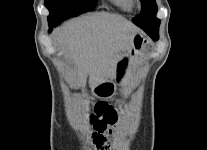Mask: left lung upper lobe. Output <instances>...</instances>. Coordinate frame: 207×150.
<instances>
[{
    "label": "left lung upper lobe",
    "mask_w": 207,
    "mask_h": 150,
    "mask_svg": "<svg viewBox=\"0 0 207 150\" xmlns=\"http://www.w3.org/2000/svg\"><path fill=\"white\" fill-rule=\"evenodd\" d=\"M141 13L133 18V22L146 33H158L160 20L156 18L155 0H141Z\"/></svg>",
    "instance_id": "1"
}]
</instances>
